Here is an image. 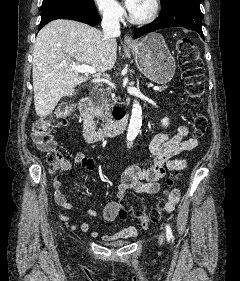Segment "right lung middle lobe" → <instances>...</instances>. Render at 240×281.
Listing matches in <instances>:
<instances>
[{
	"instance_id": "1",
	"label": "right lung middle lobe",
	"mask_w": 240,
	"mask_h": 281,
	"mask_svg": "<svg viewBox=\"0 0 240 281\" xmlns=\"http://www.w3.org/2000/svg\"><path fill=\"white\" fill-rule=\"evenodd\" d=\"M57 8H73L89 12L97 11L94 0H43L41 15Z\"/></svg>"
}]
</instances>
